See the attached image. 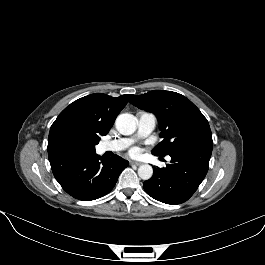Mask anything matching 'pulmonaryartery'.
I'll use <instances>...</instances> for the list:
<instances>
[{"label": "pulmonary artery", "instance_id": "e3ab8cb5", "mask_svg": "<svg viewBox=\"0 0 265 265\" xmlns=\"http://www.w3.org/2000/svg\"><path fill=\"white\" fill-rule=\"evenodd\" d=\"M157 120L153 114L141 113L137 116V133L131 138H121L118 140L103 143L102 151H121L131 145L134 140L149 135L156 127ZM169 159V158H168Z\"/></svg>", "mask_w": 265, "mask_h": 265}]
</instances>
